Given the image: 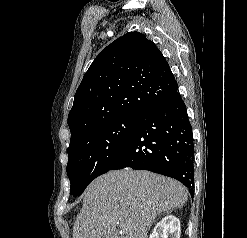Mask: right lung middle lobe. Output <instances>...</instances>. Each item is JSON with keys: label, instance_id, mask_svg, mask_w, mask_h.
<instances>
[{"label": "right lung middle lobe", "instance_id": "1", "mask_svg": "<svg viewBox=\"0 0 247 238\" xmlns=\"http://www.w3.org/2000/svg\"><path fill=\"white\" fill-rule=\"evenodd\" d=\"M141 115H124L98 125L70 142L67 174L70 193L78 196L96 177L110 170Z\"/></svg>", "mask_w": 247, "mask_h": 238}]
</instances>
